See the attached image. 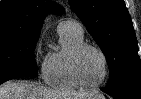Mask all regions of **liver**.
Wrapping results in <instances>:
<instances>
[{"label":"liver","instance_id":"1","mask_svg":"<svg viewBox=\"0 0 141 99\" xmlns=\"http://www.w3.org/2000/svg\"><path fill=\"white\" fill-rule=\"evenodd\" d=\"M104 99L97 91L60 92L27 81L7 82L0 87V99Z\"/></svg>","mask_w":141,"mask_h":99}]
</instances>
